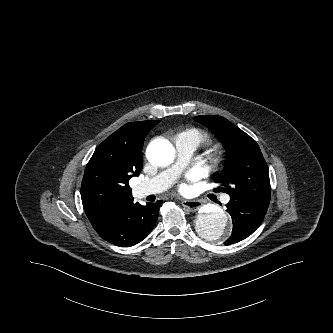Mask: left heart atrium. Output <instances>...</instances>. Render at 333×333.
I'll use <instances>...</instances> for the list:
<instances>
[{
    "label": "left heart atrium",
    "instance_id": "1",
    "mask_svg": "<svg viewBox=\"0 0 333 333\" xmlns=\"http://www.w3.org/2000/svg\"><path fill=\"white\" fill-rule=\"evenodd\" d=\"M195 177V174L194 173H190L189 175H188V178L189 179H193ZM180 190L182 191V192H187L188 190H189V187L185 184V183H182L181 185H180Z\"/></svg>",
    "mask_w": 333,
    "mask_h": 333
}]
</instances>
